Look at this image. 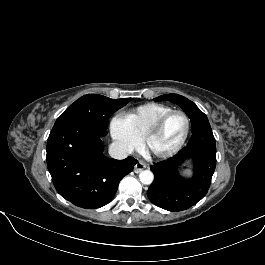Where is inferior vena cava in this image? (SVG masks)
<instances>
[{"mask_svg": "<svg viewBox=\"0 0 265 265\" xmlns=\"http://www.w3.org/2000/svg\"><path fill=\"white\" fill-rule=\"evenodd\" d=\"M131 149L123 142L114 141L109 146V154L112 158L122 160L131 154Z\"/></svg>", "mask_w": 265, "mask_h": 265, "instance_id": "602c4592", "label": "inferior vena cava"}]
</instances>
